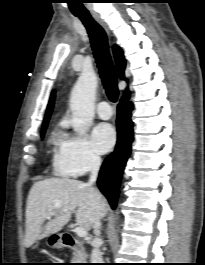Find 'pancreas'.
I'll list each match as a JSON object with an SVG mask.
<instances>
[{
  "label": "pancreas",
  "mask_w": 205,
  "mask_h": 265,
  "mask_svg": "<svg viewBox=\"0 0 205 265\" xmlns=\"http://www.w3.org/2000/svg\"><path fill=\"white\" fill-rule=\"evenodd\" d=\"M86 258V255L82 252L80 253H75L74 256H73V260L74 261H81V260H84Z\"/></svg>",
  "instance_id": "cf45deb5"
}]
</instances>
